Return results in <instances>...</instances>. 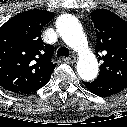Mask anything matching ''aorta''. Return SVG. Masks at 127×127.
<instances>
[{
	"label": "aorta",
	"instance_id": "762f6f07",
	"mask_svg": "<svg viewBox=\"0 0 127 127\" xmlns=\"http://www.w3.org/2000/svg\"><path fill=\"white\" fill-rule=\"evenodd\" d=\"M57 28L64 42L79 55L77 72L86 81H91L98 74V61L88 47V42L78 20L71 15H62L57 21Z\"/></svg>",
	"mask_w": 127,
	"mask_h": 127
}]
</instances>
